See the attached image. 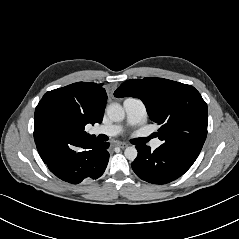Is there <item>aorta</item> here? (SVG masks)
Returning a JSON list of instances; mask_svg holds the SVG:
<instances>
[{"label": "aorta", "instance_id": "obj_1", "mask_svg": "<svg viewBox=\"0 0 239 239\" xmlns=\"http://www.w3.org/2000/svg\"><path fill=\"white\" fill-rule=\"evenodd\" d=\"M107 115L111 120L119 122L124 119L125 111L120 104L113 103L107 107ZM124 154L128 160L133 161L136 159L138 152L135 147L131 146L125 149Z\"/></svg>", "mask_w": 239, "mask_h": 239}]
</instances>
